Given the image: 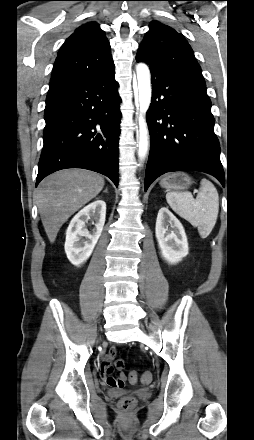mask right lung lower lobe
<instances>
[{"label":"right lung lower lobe","instance_id":"1","mask_svg":"<svg viewBox=\"0 0 254 440\" xmlns=\"http://www.w3.org/2000/svg\"><path fill=\"white\" fill-rule=\"evenodd\" d=\"M110 70L49 88L36 186L57 170L84 168L118 186L121 98Z\"/></svg>","mask_w":254,"mask_h":440}]
</instances>
